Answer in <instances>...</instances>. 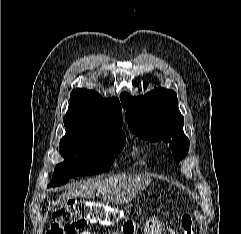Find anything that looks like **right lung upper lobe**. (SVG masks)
<instances>
[{
    "label": "right lung upper lobe",
    "instance_id": "1",
    "mask_svg": "<svg viewBox=\"0 0 241 234\" xmlns=\"http://www.w3.org/2000/svg\"><path fill=\"white\" fill-rule=\"evenodd\" d=\"M64 119L85 129L121 130L122 109L117 98H102L87 89H75L70 95Z\"/></svg>",
    "mask_w": 241,
    "mask_h": 234
}]
</instances>
